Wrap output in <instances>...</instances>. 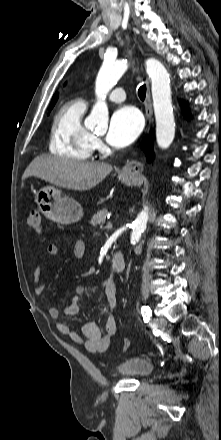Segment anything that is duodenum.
<instances>
[{
	"instance_id": "1",
	"label": "duodenum",
	"mask_w": 221,
	"mask_h": 440,
	"mask_svg": "<svg viewBox=\"0 0 221 440\" xmlns=\"http://www.w3.org/2000/svg\"><path fill=\"white\" fill-rule=\"evenodd\" d=\"M125 257L121 251H114L112 256V272L121 273L125 269Z\"/></svg>"
}]
</instances>
